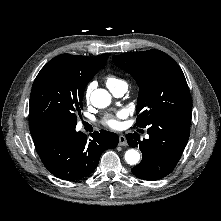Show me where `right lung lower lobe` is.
Returning <instances> with one entry per match:
<instances>
[{
	"mask_svg": "<svg viewBox=\"0 0 221 221\" xmlns=\"http://www.w3.org/2000/svg\"><path fill=\"white\" fill-rule=\"evenodd\" d=\"M33 141L48 171L62 180L72 181L89 176L98 165L101 154L118 145L119 137L101 130L88 140L84 133L72 130L44 134Z\"/></svg>",
	"mask_w": 221,
	"mask_h": 221,
	"instance_id": "98d812e1",
	"label": "right lung lower lobe"
}]
</instances>
